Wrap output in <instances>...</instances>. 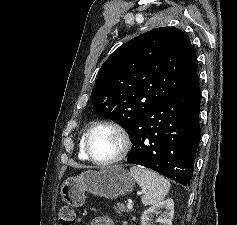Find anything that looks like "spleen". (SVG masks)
<instances>
[{
  "mask_svg": "<svg viewBox=\"0 0 237 225\" xmlns=\"http://www.w3.org/2000/svg\"><path fill=\"white\" fill-rule=\"evenodd\" d=\"M130 175L144 191L142 203L145 206L164 200L170 190L171 184L166 178L144 167L132 166Z\"/></svg>",
  "mask_w": 237,
  "mask_h": 225,
  "instance_id": "obj_1",
  "label": "spleen"
}]
</instances>
